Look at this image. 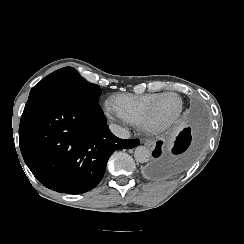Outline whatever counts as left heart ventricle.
Returning a JSON list of instances; mask_svg holds the SVG:
<instances>
[{"mask_svg": "<svg viewBox=\"0 0 244 244\" xmlns=\"http://www.w3.org/2000/svg\"><path fill=\"white\" fill-rule=\"evenodd\" d=\"M160 110L164 118H167L177 107V100L173 96H165L158 101Z\"/></svg>", "mask_w": 244, "mask_h": 244, "instance_id": "b2bd125f", "label": "left heart ventricle"}]
</instances>
